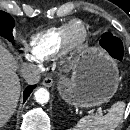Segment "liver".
Masks as SVG:
<instances>
[{"label":"liver","mask_w":130,"mask_h":130,"mask_svg":"<svg viewBox=\"0 0 130 130\" xmlns=\"http://www.w3.org/2000/svg\"><path fill=\"white\" fill-rule=\"evenodd\" d=\"M13 55L0 43V128L13 115L20 97V81Z\"/></svg>","instance_id":"obj_1"}]
</instances>
